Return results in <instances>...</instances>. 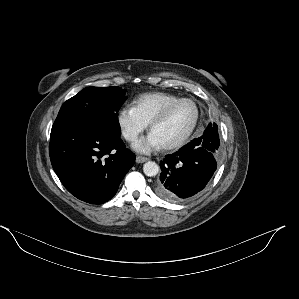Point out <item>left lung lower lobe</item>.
Listing matches in <instances>:
<instances>
[{"label": "left lung lower lobe", "mask_w": 299, "mask_h": 299, "mask_svg": "<svg viewBox=\"0 0 299 299\" xmlns=\"http://www.w3.org/2000/svg\"><path fill=\"white\" fill-rule=\"evenodd\" d=\"M217 153L206 132L160 162L156 192L165 200L181 202L202 191L217 168Z\"/></svg>", "instance_id": "1"}]
</instances>
